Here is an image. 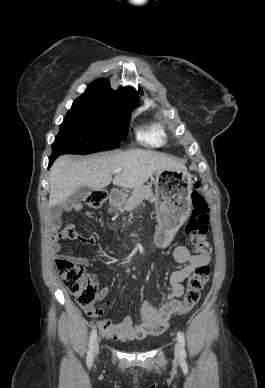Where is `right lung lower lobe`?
Masks as SVG:
<instances>
[{"label": "right lung lower lobe", "instance_id": "98d812e1", "mask_svg": "<svg viewBox=\"0 0 265 388\" xmlns=\"http://www.w3.org/2000/svg\"><path fill=\"white\" fill-rule=\"evenodd\" d=\"M57 157H58L57 155H51V157L49 158V166H48V168H50V166L52 165V163L54 162V160H55Z\"/></svg>", "mask_w": 265, "mask_h": 388}]
</instances>
